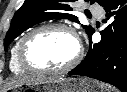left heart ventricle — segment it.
<instances>
[{
  "label": "left heart ventricle",
  "mask_w": 127,
  "mask_h": 92,
  "mask_svg": "<svg viewBox=\"0 0 127 92\" xmlns=\"http://www.w3.org/2000/svg\"><path fill=\"white\" fill-rule=\"evenodd\" d=\"M76 52L77 43L72 35L63 30H49L30 41L26 54L33 66L53 69L67 64Z\"/></svg>",
  "instance_id": "obj_1"
}]
</instances>
